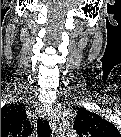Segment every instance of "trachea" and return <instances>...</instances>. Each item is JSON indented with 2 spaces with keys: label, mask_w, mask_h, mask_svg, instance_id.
<instances>
[{
  "label": "trachea",
  "mask_w": 121,
  "mask_h": 137,
  "mask_svg": "<svg viewBox=\"0 0 121 137\" xmlns=\"http://www.w3.org/2000/svg\"><path fill=\"white\" fill-rule=\"evenodd\" d=\"M48 123L44 120H39L37 123L38 129L41 131L47 127Z\"/></svg>",
  "instance_id": "3493384b"
}]
</instances>
